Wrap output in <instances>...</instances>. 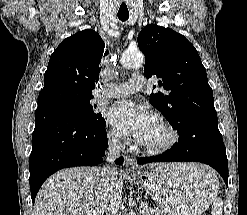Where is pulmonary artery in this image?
Wrapping results in <instances>:
<instances>
[{"instance_id":"e3ab8cb5","label":"pulmonary artery","mask_w":247,"mask_h":215,"mask_svg":"<svg viewBox=\"0 0 247 215\" xmlns=\"http://www.w3.org/2000/svg\"><path fill=\"white\" fill-rule=\"evenodd\" d=\"M146 82L143 76H131L129 81L123 83L112 84L105 91V96L110 98H124L136 91L145 88Z\"/></svg>"}]
</instances>
